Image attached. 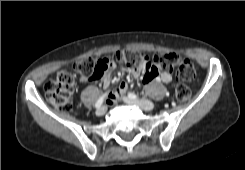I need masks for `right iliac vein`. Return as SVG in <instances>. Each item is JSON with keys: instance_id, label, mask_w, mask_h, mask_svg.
<instances>
[{"instance_id": "right-iliac-vein-1", "label": "right iliac vein", "mask_w": 245, "mask_h": 170, "mask_svg": "<svg viewBox=\"0 0 245 170\" xmlns=\"http://www.w3.org/2000/svg\"><path fill=\"white\" fill-rule=\"evenodd\" d=\"M106 110H107V107L106 106H101V107H99L97 109L96 114L98 116H101V115H103L105 113Z\"/></svg>"}]
</instances>
